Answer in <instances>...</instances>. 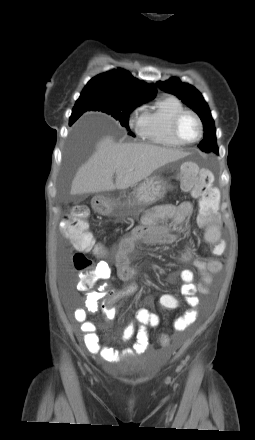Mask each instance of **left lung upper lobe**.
Returning a JSON list of instances; mask_svg holds the SVG:
<instances>
[{
	"mask_svg": "<svg viewBox=\"0 0 255 440\" xmlns=\"http://www.w3.org/2000/svg\"><path fill=\"white\" fill-rule=\"evenodd\" d=\"M156 85L165 92L175 94L199 115L203 123L204 138L198 147L204 152L213 151L218 153L214 121L212 119L209 107L203 99L201 93L192 85L182 83L178 78L175 77L170 78L165 82L159 81L156 83Z\"/></svg>",
	"mask_w": 255,
	"mask_h": 440,
	"instance_id": "5c2ea615",
	"label": "left lung upper lobe"
}]
</instances>
